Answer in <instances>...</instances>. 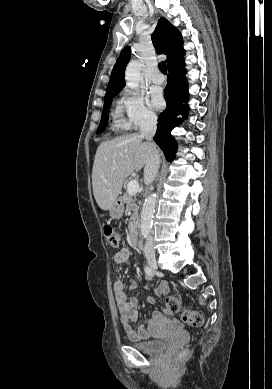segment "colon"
<instances>
[{
  "mask_svg": "<svg viewBox=\"0 0 272 389\" xmlns=\"http://www.w3.org/2000/svg\"><path fill=\"white\" fill-rule=\"evenodd\" d=\"M104 236L107 243L112 247H118L120 244V238L111 226L104 227ZM166 312L168 314L180 313L181 319L184 323L192 327H200L203 324L202 315L194 310L185 309L179 298L175 296H169L166 298ZM188 355L186 348L182 349L175 355L176 361H183Z\"/></svg>",
  "mask_w": 272,
  "mask_h": 389,
  "instance_id": "5ec220e1",
  "label": "colon"
}]
</instances>
